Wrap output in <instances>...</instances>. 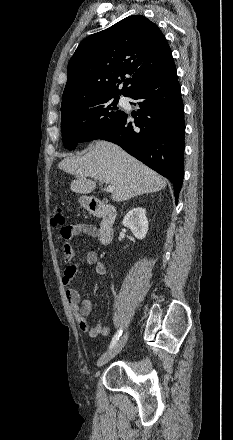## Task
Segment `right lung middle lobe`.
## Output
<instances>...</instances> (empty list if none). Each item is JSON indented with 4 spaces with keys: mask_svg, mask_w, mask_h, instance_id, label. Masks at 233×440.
Here are the masks:
<instances>
[{
    "mask_svg": "<svg viewBox=\"0 0 233 440\" xmlns=\"http://www.w3.org/2000/svg\"><path fill=\"white\" fill-rule=\"evenodd\" d=\"M119 98H96L61 109L62 141L69 150L78 143L101 138L116 126L125 113L118 109Z\"/></svg>",
    "mask_w": 233,
    "mask_h": 440,
    "instance_id": "dd1d6c3e",
    "label": "right lung middle lobe"
}]
</instances>
